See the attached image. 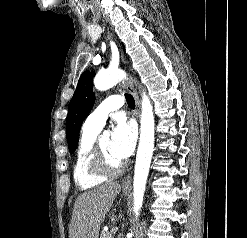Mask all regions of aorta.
<instances>
[{"mask_svg":"<svg viewBox=\"0 0 247 238\" xmlns=\"http://www.w3.org/2000/svg\"><path fill=\"white\" fill-rule=\"evenodd\" d=\"M124 77L125 73L121 70H106L96 75L94 85L99 91H105L115 86ZM141 105L140 139L133 181L134 212L136 216H138L143 204L145 186L153 154L155 132L153 107L144 92ZM105 135H108V133L106 132Z\"/></svg>","mask_w":247,"mask_h":238,"instance_id":"1","label":"aorta"}]
</instances>
